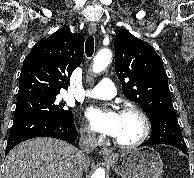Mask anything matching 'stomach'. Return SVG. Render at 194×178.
Returning <instances> with one entry per match:
<instances>
[{"label":"stomach","instance_id":"obj_1","mask_svg":"<svg viewBox=\"0 0 194 178\" xmlns=\"http://www.w3.org/2000/svg\"><path fill=\"white\" fill-rule=\"evenodd\" d=\"M107 162L122 178H158L163 168L159 153L150 147L116 154Z\"/></svg>","mask_w":194,"mask_h":178}]
</instances>
